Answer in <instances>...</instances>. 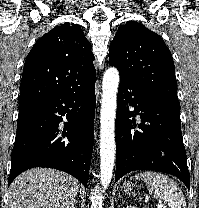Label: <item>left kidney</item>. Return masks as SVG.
I'll return each instance as SVG.
<instances>
[{
	"label": "left kidney",
	"instance_id": "obj_1",
	"mask_svg": "<svg viewBox=\"0 0 199 208\" xmlns=\"http://www.w3.org/2000/svg\"><path fill=\"white\" fill-rule=\"evenodd\" d=\"M126 208H136V207L130 205V206H127Z\"/></svg>",
	"mask_w": 199,
	"mask_h": 208
}]
</instances>
